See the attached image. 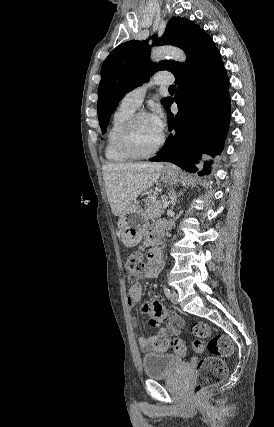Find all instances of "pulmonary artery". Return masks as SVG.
Listing matches in <instances>:
<instances>
[{
  "label": "pulmonary artery",
  "mask_w": 274,
  "mask_h": 427,
  "mask_svg": "<svg viewBox=\"0 0 274 427\" xmlns=\"http://www.w3.org/2000/svg\"><path fill=\"white\" fill-rule=\"evenodd\" d=\"M174 82V79L171 76H165L158 78L157 75L153 76L151 80L146 83L138 86L133 89L129 93L125 95L122 99L121 106L131 109L137 110L140 108L143 99L148 91V89L153 85H171Z\"/></svg>",
  "instance_id": "obj_1"
}]
</instances>
